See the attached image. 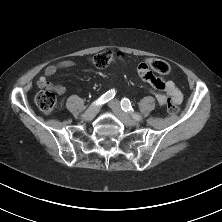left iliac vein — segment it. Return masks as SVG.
Instances as JSON below:
<instances>
[{
  "label": "left iliac vein",
  "instance_id": "4c4485c4",
  "mask_svg": "<svg viewBox=\"0 0 222 222\" xmlns=\"http://www.w3.org/2000/svg\"><path fill=\"white\" fill-rule=\"evenodd\" d=\"M110 108L116 114L118 119L123 122L127 126H136L138 122L133 120L128 114H126L120 107V103L118 101H111L109 103Z\"/></svg>",
  "mask_w": 222,
  "mask_h": 222
}]
</instances>
